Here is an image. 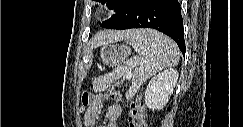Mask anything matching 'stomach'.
<instances>
[{
  "instance_id": "stomach-1",
  "label": "stomach",
  "mask_w": 243,
  "mask_h": 127,
  "mask_svg": "<svg viewBox=\"0 0 243 127\" xmlns=\"http://www.w3.org/2000/svg\"><path fill=\"white\" fill-rule=\"evenodd\" d=\"M131 51L128 47L116 46V45H109L104 46L101 49V60L102 62L110 67L119 66L122 64L125 59L130 55Z\"/></svg>"
}]
</instances>
